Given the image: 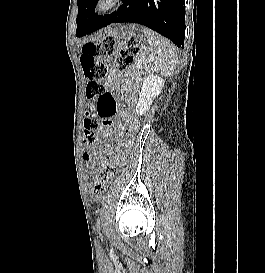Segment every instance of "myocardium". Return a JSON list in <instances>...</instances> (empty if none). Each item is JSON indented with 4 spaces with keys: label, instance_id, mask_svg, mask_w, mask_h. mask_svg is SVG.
Masks as SVG:
<instances>
[{
    "label": "myocardium",
    "instance_id": "myocardium-1",
    "mask_svg": "<svg viewBox=\"0 0 265 273\" xmlns=\"http://www.w3.org/2000/svg\"><path fill=\"white\" fill-rule=\"evenodd\" d=\"M123 0H96L93 4V13L96 16H106L115 12Z\"/></svg>",
    "mask_w": 265,
    "mask_h": 273
}]
</instances>
